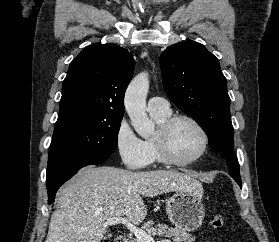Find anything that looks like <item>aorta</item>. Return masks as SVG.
<instances>
[{
    "mask_svg": "<svg viewBox=\"0 0 279 242\" xmlns=\"http://www.w3.org/2000/svg\"><path fill=\"white\" fill-rule=\"evenodd\" d=\"M149 89L147 73L138 74L129 84L124 98L125 110L135 131L143 138L154 131V123L146 113V96Z\"/></svg>",
    "mask_w": 279,
    "mask_h": 242,
    "instance_id": "aorta-1",
    "label": "aorta"
}]
</instances>
